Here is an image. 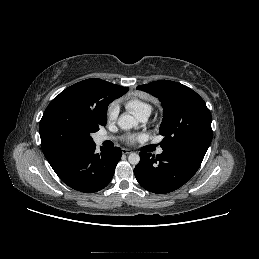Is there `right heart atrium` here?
Instances as JSON below:
<instances>
[{
  "label": "right heart atrium",
  "instance_id": "obj_1",
  "mask_svg": "<svg viewBox=\"0 0 259 259\" xmlns=\"http://www.w3.org/2000/svg\"><path fill=\"white\" fill-rule=\"evenodd\" d=\"M118 113V105L116 102H112L107 109V117L109 120H114Z\"/></svg>",
  "mask_w": 259,
  "mask_h": 259
}]
</instances>
